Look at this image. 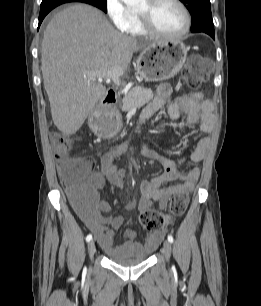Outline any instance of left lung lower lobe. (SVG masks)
Segmentation results:
<instances>
[{
    "label": "left lung lower lobe",
    "instance_id": "left-lung-lower-lobe-1",
    "mask_svg": "<svg viewBox=\"0 0 261 306\" xmlns=\"http://www.w3.org/2000/svg\"><path fill=\"white\" fill-rule=\"evenodd\" d=\"M204 32L207 33L208 35H210L213 39L215 38V32L214 31H204Z\"/></svg>",
    "mask_w": 261,
    "mask_h": 306
}]
</instances>
